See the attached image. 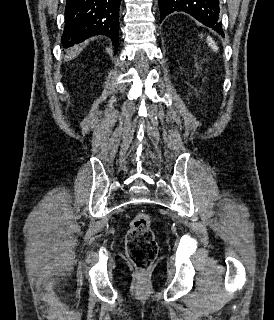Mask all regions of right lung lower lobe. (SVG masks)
<instances>
[{
  "label": "right lung lower lobe",
  "mask_w": 274,
  "mask_h": 320,
  "mask_svg": "<svg viewBox=\"0 0 274 320\" xmlns=\"http://www.w3.org/2000/svg\"><path fill=\"white\" fill-rule=\"evenodd\" d=\"M121 0H66L64 48L103 34L117 48L119 42V7Z\"/></svg>",
  "instance_id": "98d812e1"
}]
</instances>
